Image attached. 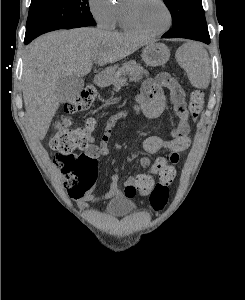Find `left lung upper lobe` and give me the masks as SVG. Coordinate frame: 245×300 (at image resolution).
Masks as SVG:
<instances>
[{
    "instance_id": "5c2ea615",
    "label": "left lung upper lobe",
    "mask_w": 245,
    "mask_h": 300,
    "mask_svg": "<svg viewBox=\"0 0 245 300\" xmlns=\"http://www.w3.org/2000/svg\"><path fill=\"white\" fill-rule=\"evenodd\" d=\"M171 12L172 29L164 35L182 36L208 33L202 0H163ZM209 34V33H208Z\"/></svg>"
}]
</instances>
